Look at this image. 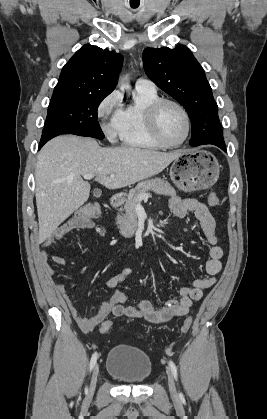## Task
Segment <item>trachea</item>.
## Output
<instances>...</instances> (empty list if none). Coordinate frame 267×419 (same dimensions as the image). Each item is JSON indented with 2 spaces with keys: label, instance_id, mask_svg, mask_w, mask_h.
<instances>
[{
  "label": "trachea",
  "instance_id": "1",
  "mask_svg": "<svg viewBox=\"0 0 267 419\" xmlns=\"http://www.w3.org/2000/svg\"><path fill=\"white\" fill-rule=\"evenodd\" d=\"M133 8H136L137 6H132Z\"/></svg>",
  "mask_w": 267,
  "mask_h": 419
}]
</instances>
